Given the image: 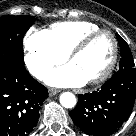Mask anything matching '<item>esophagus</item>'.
Masks as SVG:
<instances>
[{
  "label": "esophagus",
  "mask_w": 136,
  "mask_h": 136,
  "mask_svg": "<svg viewBox=\"0 0 136 136\" xmlns=\"http://www.w3.org/2000/svg\"><path fill=\"white\" fill-rule=\"evenodd\" d=\"M48 92H49V95H50V96H54V95H56L57 93H59V90L54 89V88H50V89L48 90Z\"/></svg>",
  "instance_id": "1"
}]
</instances>
